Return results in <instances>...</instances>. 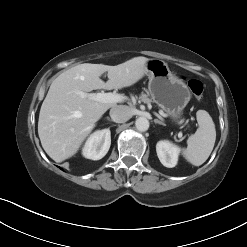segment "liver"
<instances>
[{"mask_svg":"<svg viewBox=\"0 0 247 247\" xmlns=\"http://www.w3.org/2000/svg\"><path fill=\"white\" fill-rule=\"evenodd\" d=\"M148 58L135 57L116 66L84 63L60 74L42 103L38 134L45 152L56 162L72 157L96 122L117 105L82 97L97 89H121L137 83L146 74ZM107 72L108 81L100 76Z\"/></svg>","mask_w":247,"mask_h":247,"instance_id":"liver-1","label":"liver"}]
</instances>
